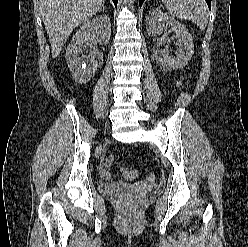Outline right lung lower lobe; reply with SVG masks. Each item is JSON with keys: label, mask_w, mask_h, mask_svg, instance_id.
Instances as JSON below:
<instances>
[{"label": "right lung lower lobe", "mask_w": 248, "mask_h": 247, "mask_svg": "<svg viewBox=\"0 0 248 247\" xmlns=\"http://www.w3.org/2000/svg\"><path fill=\"white\" fill-rule=\"evenodd\" d=\"M112 1L114 2L115 6L117 7V1L118 0H112Z\"/></svg>", "instance_id": "98d812e1"}]
</instances>
